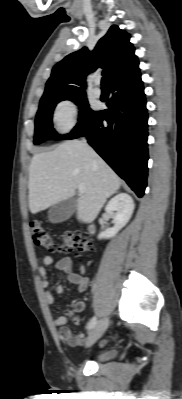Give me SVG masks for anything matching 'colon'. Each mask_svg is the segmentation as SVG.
Here are the masks:
<instances>
[{
	"instance_id": "colon-1",
	"label": "colon",
	"mask_w": 182,
	"mask_h": 399,
	"mask_svg": "<svg viewBox=\"0 0 182 399\" xmlns=\"http://www.w3.org/2000/svg\"><path fill=\"white\" fill-rule=\"evenodd\" d=\"M31 237L38 246L51 251L60 250L69 252L77 249L80 253H88L91 251V243L87 234L81 232H69L62 236V240L57 244L50 236L46 227L38 220L30 223Z\"/></svg>"
}]
</instances>
